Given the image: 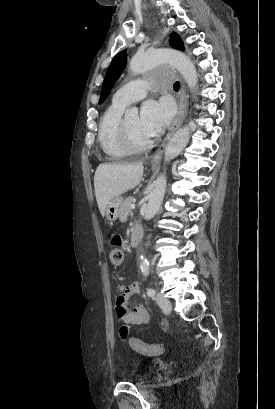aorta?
<instances>
[{
	"label": "aorta",
	"instance_id": "762f6f07",
	"mask_svg": "<svg viewBox=\"0 0 275 409\" xmlns=\"http://www.w3.org/2000/svg\"><path fill=\"white\" fill-rule=\"evenodd\" d=\"M130 70L134 74H140L147 70V65H161L163 62H168L174 68L179 70L182 74L185 82H187L189 88H195L198 82L197 70L195 64H193L190 56H186L184 52L180 50H169V48H160L159 51H130ZM126 118L128 116H138V108H127L125 112ZM190 126H182L179 130H176L172 138H170L167 146H165V160H171L180 154L181 150L187 146L190 140ZM166 188V176L160 174L157 176L156 182L152 192H150L147 209L145 211L144 219H153L154 215L158 213L161 202L164 198ZM140 269L144 277L149 275V263L145 257H141Z\"/></svg>",
	"mask_w": 275,
	"mask_h": 409
}]
</instances>
